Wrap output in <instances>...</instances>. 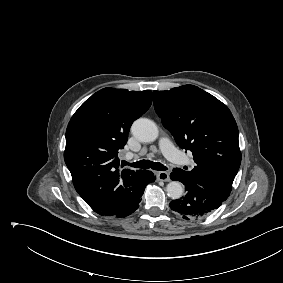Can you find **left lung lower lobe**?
I'll return each mask as SVG.
<instances>
[{"label": "left lung lower lobe", "mask_w": 283, "mask_h": 283, "mask_svg": "<svg viewBox=\"0 0 283 283\" xmlns=\"http://www.w3.org/2000/svg\"><path fill=\"white\" fill-rule=\"evenodd\" d=\"M170 178L185 185V196L171 201L170 208L186 220L208 216L218 209L224 201L196 183L184 179L175 170L170 174Z\"/></svg>", "instance_id": "0a47b994"}]
</instances>
